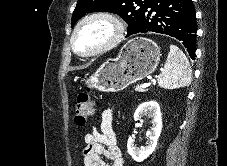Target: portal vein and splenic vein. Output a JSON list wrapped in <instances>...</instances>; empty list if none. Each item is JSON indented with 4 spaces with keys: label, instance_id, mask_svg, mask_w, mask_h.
Returning a JSON list of instances; mask_svg holds the SVG:
<instances>
[{
    "label": "portal vein and splenic vein",
    "instance_id": "1",
    "mask_svg": "<svg viewBox=\"0 0 227 166\" xmlns=\"http://www.w3.org/2000/svg\"><path fill=\"white\" fill-rule=\"evenodd\" d=\"M150 85V83H143L142 85H141V88H146V87H148Z\"/></svg>",
    "mask_w": 227,
    "mask_h": 166
}]
</instances>
